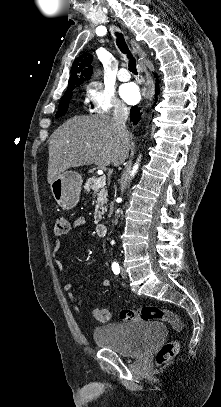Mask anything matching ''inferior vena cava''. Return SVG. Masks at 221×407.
<instances>
[{"instance_id":"obj_1","label":"inferior vena cava","mask_w":221,"mask_h":407,"mask_svg":"<svg viewBox=\"0 0 221 407\" xmlns=\"http://www.w3.org/2000/svg\"><path fill=\"white\" fill-rule=\"evenodd\" d=\"M128 116L129 109L123 103H118L114 109L113 121L117 125L118 129L122 132L123 136L128 134V130L126 128Z\"/></svg>"}]
</instances>
